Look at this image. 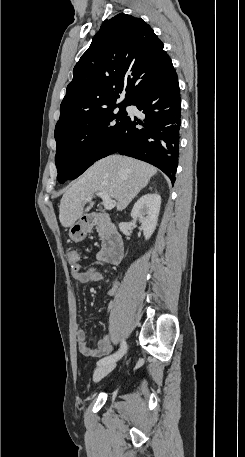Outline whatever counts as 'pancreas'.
Returning a JSON list of instances; mask_svg holds the SVG:
<instances>
[{
    "label": "pancreas",
    "mask_w": 245,
    "mask_h": 457,
    "mask_svg": "<svg viewBox=\"0 0 245 457\" xmlns=\"http://www.w3.org/2000/svg\"><path fill=\"white\" fill-rule=\"evenodd\" d=\"M96 231L98 233V237L100 241H103L104 235H105V229H104V224H96Z\"/></svg>",
    "instance_id": "1"
}]
</instances>
